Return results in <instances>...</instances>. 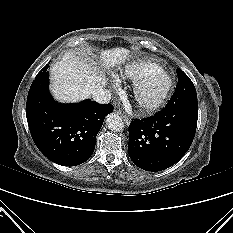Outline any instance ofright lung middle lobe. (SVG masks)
Returning <instances> with one entry per match:
<instances>
[{
    "instance_id": "obj_1",
    "label": "right lung middle lobe",
    "mask_w": 233,
    "mask_h": 233,
    "mask_svg": "<svg viewBox=\"0 0 233 233\" xmlns=\"http://www.w3.org/2000/svg\"><path fill=\"white\" fill-rule=\"evenodd\" d=\"M42 71H43V69H42L38 74H41V73H42Z\"/></svg>"
}]
</instances>
